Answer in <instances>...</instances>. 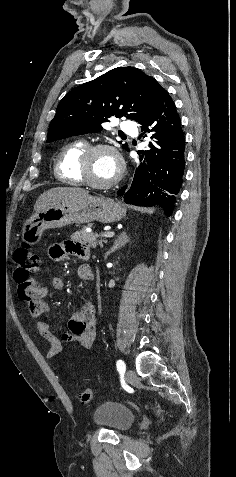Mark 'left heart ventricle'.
<instances>
[{
    "label": "left heart ventricle",
    "mask_w": 236,
    "mask_h": 477,
    "mask_svg": "<svg viewBox=\"0 0 236 477\" xmlns=\"http://www.w3.org/2000/svg\"><path fill=\"white\" fill-rule=\"evenodd\" d=\"M118 172L114 155L107 150L96 152L89 161V176L95 182L112 180Z\"/></svg>",
    "instance_id": "1"
}]
</instances>
